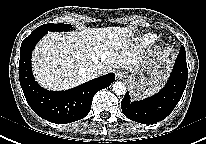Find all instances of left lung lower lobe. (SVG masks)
Instances as JSON below:
<instances>
[{
    "label": "left lung lower lobe",
    "instance_id": "obj_1",
    "mask_svg": "<svg viewBox=\"0 0 206 144\" xmlns=\"http://www.w3.org/2000/svg\"><path fill=\"white\" fill-rule=\"evenodd\" d=\"M187 78L186 52L181 46L165 87L152 97L134 102H131L127 92L121 102L122 112L129 119L142 124H154L165 119L180 101Z\"/></svg>",
    "mask_w": 206,
    "mask_h": 144
}]
</instances>
